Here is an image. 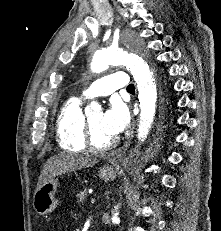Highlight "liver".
Returning a JSON list of instances; mask_svg holds the SVG:
<instances>
[{
	"label": "liver",
	"mask_w": 221,
	"mask_h": 231,
	"mask_svg": "<svg viewBox=\"0 0 221 231\" xmlns=\"http://www.w3.org/2000/svg\"><path fill=\"white\" fill-rule=\"evenodd\" d=\"M98 162L97 159L88 156H77L73 154L60 153L50 157L44 164L38 178L37 188L48 180L55 178L63 173L90 167Z\"/></svg>",
	"instance_id": "liver-1"
}]
</instances>
